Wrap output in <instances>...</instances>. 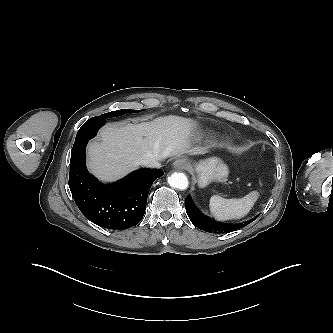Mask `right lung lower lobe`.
<instances>
[{"mask_svg": "<svg viewBox=\"0 0 333 333\" xmlns=\"http://www.w3.org/2000/svg\"><path fill=\"white\" fill-rule=\"evenodd\" d=\"M105 121L106 118H90L77 132L71 152L69 188L86 218L104 228L124 230L141 221L148 190L164 173L159 169H139L108 185L92 176L85 165V148Z\"/></svg>", "mask_w": 333, "mask_h": 333, "instance_id": "1", "label": "right lung lower lobe"}]
</instances>
